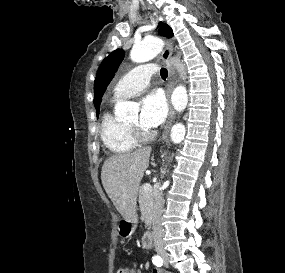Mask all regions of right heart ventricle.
Returning a JSON list of instances; mask_svg holds the SVG:
<instances>
[{"instance_id":"obj_1","label":"right heart ventricle","mask_w":285,"mask_h":273,"mask_svg":"<svg viewBox=\"0 0 285 273\" xmlns=\"http://www.w3.org/2000/svg\"><path fill=\"white\" fill-rule=\"evenodd\" d=\"M100 137L106 148L116 154L128 153L137 146L126 124L119 121L110 110L102 116Z\"/></svg>"}]
</instances>
